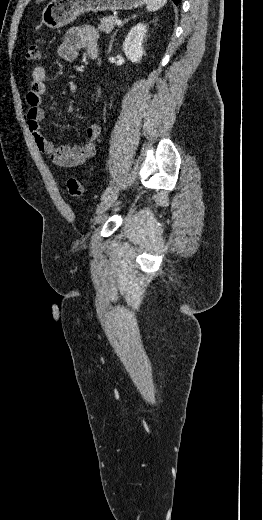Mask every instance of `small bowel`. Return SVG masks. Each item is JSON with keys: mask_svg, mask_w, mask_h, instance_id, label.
I'll list each match as a JSON object with an SVG mask.
<instances>
[{"mask_svg": "<svg viewBox=\"0 0 263 520\" xmlns=\"http://www.w3.org/2000/svg\"><path fill=\"white\" fill-rule=\"evenodd\" d=\"M84 50L89 57L98 56V32L92 26L70 28L57 48V57L72 62L77 59L79 51ZM47 71L43 66H36L32 71V83L26 95L29 109L27 113L28 127L33 135L38 150L50 157L62 167H75L84 163L95 153V141L101 132V126L93 123L88 126L86 141L80 145H63L56 147L42 132L41 123L45 117L42 108L43 96L47 92Z\"/></svg>", "mask_w": 263, "mask_h": 520, "instance_id": "1", "label": "small bowel"}]
</instances>
